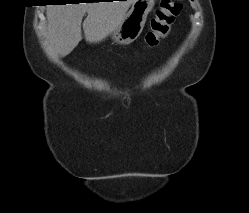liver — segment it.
<instances>
[{"instance_id": "1", "label": "liver", "mask_w": 249, "mask_h": 213, "mask_svg": "<svg viewBox=\"0 0 249 213\" xmlns=\"http://www.w3.org/2000/svg\"><path fill=\"white\" fill-rule=\"evenodd\" d=\"M134 0L48 5V43L60 57L70 54L82 40L83 22L85 40L99 43L123 20Z\"/></svg>"}]
</instances>
